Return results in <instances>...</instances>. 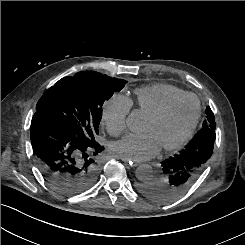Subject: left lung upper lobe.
I'll return each mask as SVG.
<instances>
[{"label": "left lung upper lobe", "instance_id": "left-lung-upper-lobe-1", "mask_svg": "<svg viewBox=\"0 0 245 245\" xmlns=\"http://www.w3.org/2000/svg\"><path fill=\"white\" fill-rule=\"evenodd\" d=\"M205 113H206V119L203 122L202 129H207V128L215 129L216 124H215L214 114L210 109V107H207Z\"/></svg>", "mask_w": 245, "mask_h": 245}]
</instances>
